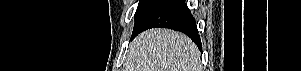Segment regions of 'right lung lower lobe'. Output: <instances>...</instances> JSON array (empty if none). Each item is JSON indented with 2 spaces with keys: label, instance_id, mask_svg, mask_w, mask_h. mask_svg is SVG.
I'll return each instance as SVG.
<instances>
[{
  "label": "right lung lower lobe",
  "instance_id": "1",
  "mask_svg": "<svg viewBox=\"0 0 301 71\" xmlns=\"http://www.w3.org/2000/svg\"><path fill=\"white\" fill-rule=\"evenodd\" d=\"M164 27L181 31L188 35L201 50L196 21L185 0H160L144 17L132 33L131 40L149 28Z\"/></svg>",
  "mask_w": 301,
  "mask_h": 71
}]
</instances>
